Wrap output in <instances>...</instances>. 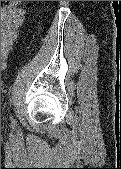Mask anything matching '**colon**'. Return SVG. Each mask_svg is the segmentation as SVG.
<instances>
[{"instance_id": "obj_1", "label": "colon", "mask_w": 121, "mask_h": 169, "mask_svg": "<svg viewBox=\"0 0 121 169\" xmlns=\"http://www.w3.org/2000/svg\"><path fill=\"white\" fill-rule=\"evenodd\" d=\"M24 18L21 1H6L1 9V62L5 67L6 60L17 37V31Z\"/></svg>"}]
</instances>
